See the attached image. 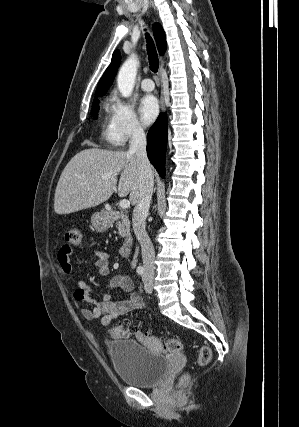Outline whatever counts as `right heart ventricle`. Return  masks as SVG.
<instances>
[{
    "label": "right heart ventricle",
    "instance_id": "right-heart-ventricle-1",
    "mask_svg": "<svg viewBox=\"0 0 299 427\" xmlns=\"http://www.w3.org/2000/svg\"><path fill=\"white\" fill-rule=\"evenodd\" d=\"M104 129H105V132H106V131H107V126H105V128H104Z\"/></svg>",
    "mask_w": 299,
    "mask_h": 427
}]
</instances>
